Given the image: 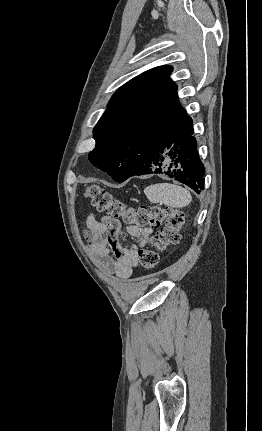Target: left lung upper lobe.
Returning a JSON list of instances; mask_svg holds the SVG:
<instances>
[{"mask_svg":"<svg viewBox=\"0 0 262 431\" xmlns=\"http://www.w3.org/2000/svg\"><path fill=\"white\" fill-rule=\"evenodd\" d=\"M170 66L150 69L120 87L93 133L90 162L116 182L132 173L138 155L151 152L177 129L192 124L169 78Z\"/></svg>","mask_w":262,"mask_h":431,"instance_id":"obj_1","label":"left lung upper lobe"}]
</instances>
